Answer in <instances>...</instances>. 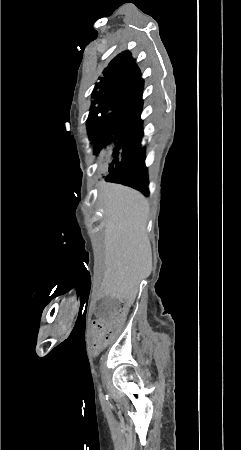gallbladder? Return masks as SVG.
Returning a JSON list of instances; mask_svg holds the SVG:
<instances>
[{"label":"gallbladder","instance_id":"obj_1","mask_svg":"<svg viewBox=\"0 0 241 450\" xmlns=\"http://www.w3.org/2000/svg\"><path fill=\"white\" fill-rule=\"evenodd\" d=\"M116 308L115 301H98L96 313L99 319H110L112 317V313Z\"/></svg>","mask_w":241,"mask_h":450}]
</instances>
